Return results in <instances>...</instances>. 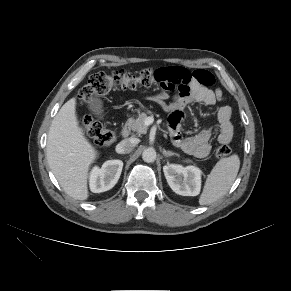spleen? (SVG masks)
<instances>
[{"label": "spleen", "instance_id": "obj_1", "mask_svg": "<svg viewBox=\"0 0 291 291\" xmlns=\"http://www.w3.org/2000/svg\"><path fill=\"white\" fill-rule=\"evenodd\" d=\"M240 168L238 155L220 159L207 176L199 198L200 205H209L224 196L234 183Z\"/></svg>", "mask_w": 291, "mask_h": 291}]
</instances>
